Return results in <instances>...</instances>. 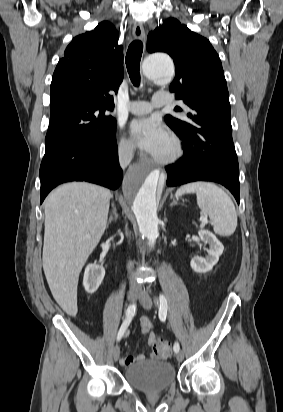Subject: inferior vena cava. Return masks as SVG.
<instances>
[{"mask_svg": "<svg viewBox=\"0 0 283 412\" xmlns=\"http://www.w3.org/2000/svg\"><path fill=\"white\" fill-rule=\"evenodd\" d=\"M119 163L122 169H125L133 158V146H124L119 149ZM128 269H132V265L128 263ZM130 285L135 286V281L133 278H130Z\"/></svg>", "mask_w": 283, "mask_h": 412, "instance_id": "obj_1", "label": "inferior vena cava"}]
</instances>
